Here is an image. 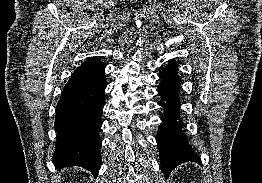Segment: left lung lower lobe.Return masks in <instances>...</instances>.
<instances>
[{"label": "left lung lower lobe", "instance_id": "left-lung-lower-lobe-1", "mask_svg": "<svg viewBox=\"0 0 262 183\" xmlns=\"http://www.w3.org/2000/svg\"><path fill=\"white\" fill-rule=\"evenodd\" d=\"M161 84L158 102L164 108L162 124L158 129L157 144L163 173L168 177L179 164L191 161L200 163V157L189 145L180 119L179 90L181 79L177 74V64L172 60L159 74Z\"/></svg>", "mask_w": 262, "mask_h": 183}]
</instances>
